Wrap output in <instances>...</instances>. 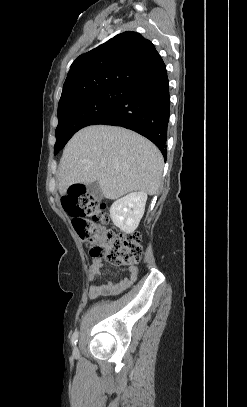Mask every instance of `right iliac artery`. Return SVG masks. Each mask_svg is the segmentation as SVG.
Segmentation results:
<instances>
[{"label":"right iliac artery","mask_w":247,"mask_h":407,"mask_svg":"<svg viewBox=\"0 0 247 407\" xmlns=\"http://www.w3.org/2000/svg\"><path fill=\"white\" fill-rule=\"evenodd\" d=\"M77 341H78V332L75 331V332L73 333V335H72V338H71V343H72V345H76Z\"/></svg>","instance_id":"right-iliac-artery-1"}]
</instances>
